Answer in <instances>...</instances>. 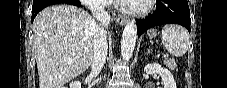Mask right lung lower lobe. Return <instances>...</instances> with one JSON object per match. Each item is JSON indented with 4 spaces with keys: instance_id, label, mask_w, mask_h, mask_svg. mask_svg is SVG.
I'll use <instances>...</instances> for the list:
<instances>
[{
    "instance_id": "1",
    "label": "right lung lower lobe",
    "mask_w": 227,
    "mask_h": 88,
    "mask_svg": "<svg viewBox=\"0 0 227 88\" xmlns=\"http://www.w3.org/2000/svg\"><path fill=\"white\" fill-rule=\"evenodd\" d=\"M68 0H33L32 17L33 22L36 15L45 7L56 3H67ZM79 6V5H76Z\"/></svg>"
}]
</instances>
